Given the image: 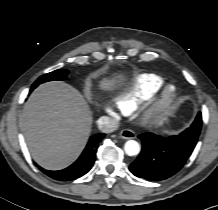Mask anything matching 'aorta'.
<instances>
[{"label":"aorta","instance_id":"aorta-1","mask_svg":"<svg viewBox=\"0 0 218 210\" xmlns=\"http://www.w3.org/2000/svg\"><path fill=\"white\" fill-rule=\"evenodd\" d=\"M124 150L127 155L135 156L138 155L140 152V145L135 140H128L124 145Z\"/></svg>","mask_w":218,"mask_h":210}]
</instances>
